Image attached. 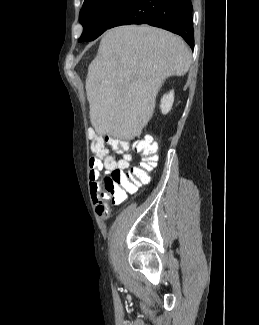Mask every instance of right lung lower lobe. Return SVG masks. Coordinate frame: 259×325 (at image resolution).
Masks as SVG:
<instances>
[{"label":"right lung lower lobe","mask_w":259,"mask_h":325,"mask_svg":"<svg viewBox=\"0 0 259 325\" xmlns=\"http://www.w3.org/2000/svg\"><path fill=\"white\" fill-rule=\"evenodd\" d=\"M127 24H149L166 29L194 47L191 0H128L108 29Z\"/></svg>","instance_id":"98d812e1"}]
</instances>
